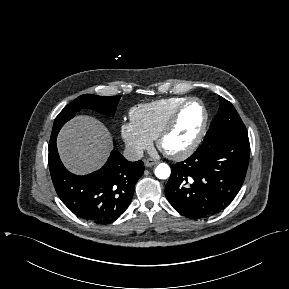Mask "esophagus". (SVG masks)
<instances>
[{
    "mask_svg": "<svg viewBox=\"0 0 289 289\" xmlns=\"http://www.w3.org/2000/svg\"><path fill=\"white\" fill-rule=\"evenodd\" d=\"M145 163V166L146 167H151V166H154L156 164H158V161L157 160H154V159H151V158H148L144 161Z\"/></svg>",
    "mask_w": 289,
    "mask_h": 289,
    "instance_id": "34e87169",
    "label": "esophagus"
}]
</instances>
